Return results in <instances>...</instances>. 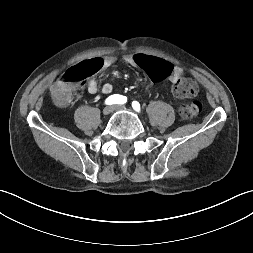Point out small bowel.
<instances>
[{
  "label": "small bowel",
  "instance_id": "obj_1",
  "mask_svg": "<svg viewBox=\"0 0 253 253\" xmlns=\"http://www.w3.org/2000/svg\"><path fill=\"white\" fill-rule=\"evenodd\" d=\"M138 53H135V54H128L124 57V61L133 66V67H140L139 64L136 63L135 61V58L137 56ZM100 63H101V68H104V69H107V68H110L112 67L115 62H116V58L114 56H107V57H104V58H97ZM171 65V64H170ZM172 69H171V73L168 75L169 77V81L173 84L177 83V81L179 79H181L183 77V70L181 67H178V66H172ZM86 87H87V91L90 93V94H95L97 93L98 91V83L95 79H90L87 84H86ZM113 90V86L110 84V83H105L102 87H101V91L102 93L104 94H110Z\"/></svg>",
  "mask_w": 253,
  "mask_h": 253
}]
</instances>
